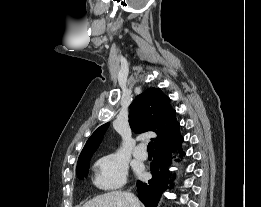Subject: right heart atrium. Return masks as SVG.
Instances as JSON below:
<instances>
[{
    "label": "right heart atrium",
    "instance_id": "obj_1",
    "mask_svg": "<svg viewBox=\"0 0 261 207\" xmlns=\"http://www.w3.org/2000/svg\"><path fill=\"white\" fill-rule=\"evenodd\" d=\"M128 166L115 154L101 157L95 164V184L103 190H114L125 185Z\"/></svg>",
    "mask_w": 261,
    "mask_h": 207
}]
</instances>
